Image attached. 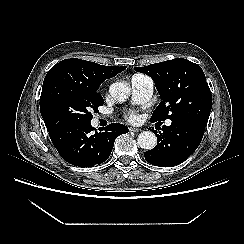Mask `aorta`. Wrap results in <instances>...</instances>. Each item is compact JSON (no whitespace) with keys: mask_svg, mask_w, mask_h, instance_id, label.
Segmentation results:
<instances>
[{"mask_svg":"<svg viewBox=\"0 0 244 244\" xmlns=\"http://www.w3.org/2000/svg\"><path fill=\"white\" fill-rule=\"evenodd\" d=\"M110 95L117 102H125L130 96V87L124 82H116L109 87ZM157 144V138L151 131H144L138 136V145L146 150L153 149Z\"/></svg>","mask_w":244,"mask_h":244,"instance_id":"aorta-1","label":"aorta"}]
</instances>
